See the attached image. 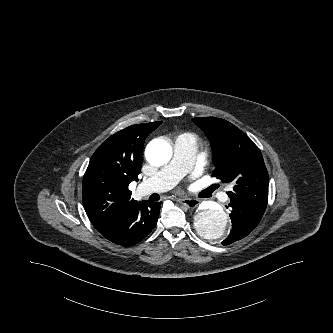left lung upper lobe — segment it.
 Masks as SVG:
<instances>
[{
    "instance_id": "obj_1",
    "label": "left lung upper lobe",
    "mask_w": 333,
    "mask_h": 333,
    "mask_svg": "<svg viewBox=\"0 0 333 333\" xmlns=\"http://www.w3.org/2000/svg\"><path fill=\"white\" fill-rule=\"evenodd\" d=\"M192 120L212 145L216 165L212 176L233 185L227 192L230 201L265 211L269 177L259 148L226 120L215 117Z\"/></svg>"
}]
</instances>
